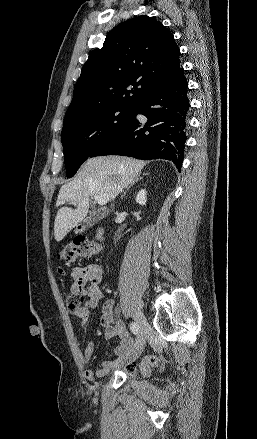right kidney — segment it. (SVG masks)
I'll use <instances>...</instances> for the list:
<instances>
[{"instance_id": "ca27d5eb", "label": "right kidney", "mask_w": 257, "mask_h": 439, "mask_svg": "<svg viewBox=\"0 0 257 439\" xmlns=\"http://www.w3.org/2000/svg\"><path fill=\"white\" fill-rule=\"evenodd\" d=\"M146 190L145 189H141L138 194L136 195V202L139 203L140 205H145L146 204Z\"/></svg>"}]
</instances>
